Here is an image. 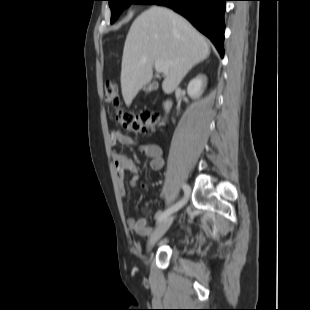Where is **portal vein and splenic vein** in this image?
<instances>
[{
    "label": "portal vein and splenic vein",
    "mask_w": 310,
    "mask_h": 310,
    "mask_svg": "<svg viewBox=\"0 0 310 310\" xmlns=\"http://www.w3.org/2000/svg\"><path fill=\"white\" fill-rule=\"evenodd\" d=\"M155 69L159 73H166L168 71V63L164 61H156Z\"/></svg>",
    "instance_id": "18ae733b"
}]
</instances>
